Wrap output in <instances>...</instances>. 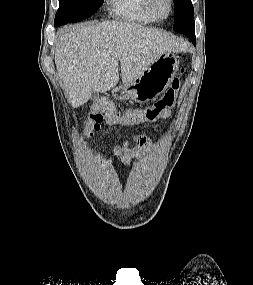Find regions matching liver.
Returning a JSON list of instances; mask_svg holds the SVG:
<instances>
[{
  "mask_svg": "<svg viewBox=\"0 0 253 285\" xmlns=\"http://www.w3.org/2000/svg\"><path fill=\"white\" fill-rule=\"evenodd\" d=\"M185 45L171 34L135 23L107 21L64 26L57 32L55 64L73 108L84 105L92 91H109L119 82L139 77L158 57Z\"/></svg>",
  "mask_w": 253,
  "mask_h": 285,
  "instance_id": "liver-1",
  "label": "liver"
}]
</instances>
